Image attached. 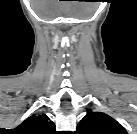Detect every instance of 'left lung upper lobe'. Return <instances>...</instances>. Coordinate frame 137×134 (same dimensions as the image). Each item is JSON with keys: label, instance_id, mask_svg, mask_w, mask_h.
<instances>
[{"label": "left lung upper lobe", "instance_id": "5c2ea615", "mask_svg": "<svg viewBox=\"0 0 137 134\" xmlns=\"http://www.w3.org/2000/svg\"><path fill=\"white\" fill-rule=\"evenodd\" d=\"M76 134H127V132L109 115L88 110L79 122Z\"/></svg>", "mask_w": 137, "mask_h": 134}]
</instances>
